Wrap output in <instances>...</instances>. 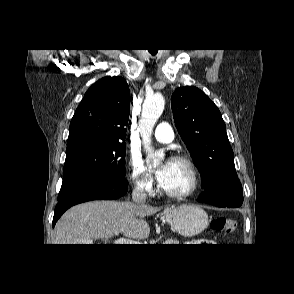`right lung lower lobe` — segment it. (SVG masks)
Returning a JSON list of instances; mask_svg holds the SVG:
<instances>
[{
	"label": "right lung lower lobe",
	"instance_id": "98d812e1",
	"mask_svg": "<svg viewBox=\"0 0 294 294\" xmlns=\"http://www.w3.org/2000/svg\"><path fill=\"white\" fill-rule=\"evenodd\" d=\"M128 190L126 180L103 177H81L62 185L55 207L52 226L54 227L61 215L76 204L101 199H117Z\"/></svg>",
	"mask_w": 294,
	"mask_h": 294
}]
</instances>
